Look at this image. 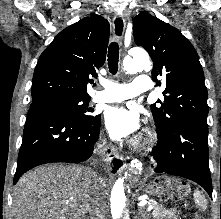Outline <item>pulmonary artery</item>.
Masks as SVG:
<instances>
[{
	"instance_id": "e3ab8cb5",
	"label": "pulmonary artery",
	"mask_w": 221,
	"mask_h": 219,
	"mask_svg": "<svg viewBox=\"0 0 221 219\" xmlns=\"http://www.w3.org/2000/svg\"><path fill=\"white\" fill-rule=\"evenodd\" d=\"M101 86L103 90L97 92L92 97V101L95 103L122 101L149 92L151 89V80L147 75H138L130 84H117L102 80Z\"/></svg>"
}]
</instances>
